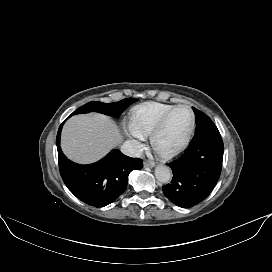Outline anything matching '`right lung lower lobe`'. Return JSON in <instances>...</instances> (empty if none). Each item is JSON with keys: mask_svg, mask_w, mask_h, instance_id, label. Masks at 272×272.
<instances>
[{"mask_svg": "<svg viewBox=\"0 0 272 272\" xmlns=\"http://www.w3.org/2000/svg\"><path fill=\"white\" fill-rule=\"evenodd\" d=\"M63 123L58 130L56 144L59 170L65 185L76 197L91 206L104 207L112 203L125 191L129 173L143 167L142 160L128 157L114 149L96 163H73L60 147Z\"/></svg>", "mask_w": 272, "mask_h": 272, "instance_id": "1", "label": "right lung lower lobe"}]
</instances>
